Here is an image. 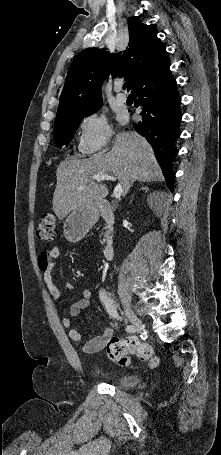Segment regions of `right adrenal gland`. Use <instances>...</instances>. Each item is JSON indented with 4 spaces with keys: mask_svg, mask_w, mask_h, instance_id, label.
Returning a JSON list of instances; mask_svg holds the SVG:
<instances>
[{
    "mask_svg": "<svg viewBox=\"0 0 221 455\" xmlns=\"http://www.w3.org/2000/svg\"><path fill=\"white\" fill-rule=\"evenodd\" d=\"M142 190H145L147 192L148 188L147 187H142ZM134 197V196H133ZM132 197V199H133ZM132 202V201H131Z\"/></svg>",
    "mask_w": 221,
    "mask_h": 455,
    "instance_id": "2a0ac1e0",
    "label": "right adrenal gland"
}]
</instances>
